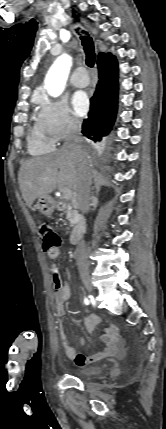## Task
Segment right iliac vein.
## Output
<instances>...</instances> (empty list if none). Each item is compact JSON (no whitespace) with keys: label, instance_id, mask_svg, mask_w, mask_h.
Masks as SVG:
<instances>
[{"label":"right iliac vein","instance_id":"1","mask_svg":"<svg viewBox=\"0 0 166 429\" xmlns=\"http://www.w3.org/2000/svg\"><path fill=\"white\" fill-rule=\"evenodd\" d=\"M79 274H80L81 281H82L83 285L85 286V288L87 289V291L89 293H93V286H92L91 279H90V276H89L87 269L81 268L79 270Z\"/></svg>","mask_w":166,"mask_h":429}]
</instances>
